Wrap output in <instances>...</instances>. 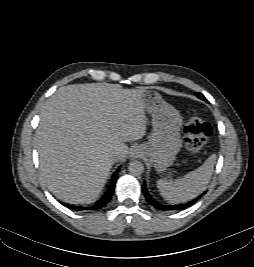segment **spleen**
<instances>
[{
    "instance_id": "1",
    "label": "spleen",
    "mask_w": 254,
    "mask_h": 267,
    "mask_svg": "<svg viewBox=\"0 0 254 267\" xmlns=\"http://www.w3.org/2000/svg\"><path fill=\"white\" fill-rule=\"evenodd\" d=\"M216 154H212L206 161L195 169L184 175L183 178L174 181L159 179L157 188L161 196L171 204L184 203L196 198L206 190L214 172Z\"/></svg>"
}]
</instances>
